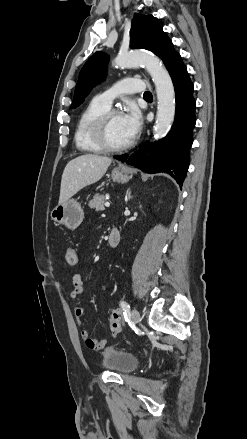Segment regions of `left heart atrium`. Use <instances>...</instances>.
<instances>
[{
  "mask_svg": "<svg viewBox=\"0 0 247 439\" xmlns=\"http://www.w3.org/2000/svg\"><path fill=\"white\" fill-rule=\"evenodd\" d=\"M123 126L130 139H133L141 129L142 120L139 110L134 105H129L126 112L121 115Z\"/></svg>",
  "mask_w": 247,
  "mask_h": 439,
  "instance_id": "1",
  "label": "left heart atrium"
}]
</instances>
